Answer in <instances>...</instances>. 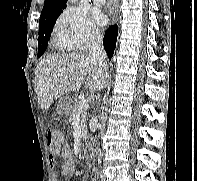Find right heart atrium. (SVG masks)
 <instances>
[{"label":"right heart atrium","instance_id":"right-heart-atrium-1","mask_svg":"<svg viewBox=\"0 0 197 181\" xmlns=\"http://www.w3.org/2000/svg\"><path fill=\"white\" fill-rule=\"evenodd\" d=\"M56 34L76 51H85L100 40L99 30L90 22L85 12L75 7L65 8L57 18Z\"/></svg>","mask_w":197,"mask_h":181}]
</instances>
